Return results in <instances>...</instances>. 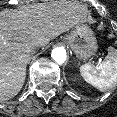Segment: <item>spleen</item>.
I'll use <instances>...</instances> for the list:
<instances>
[{
	"instance_id": "spleen-1",
	"label": "spleen",
	"mask_w": 117,
	"mask_h": 117,
	"mask_svg": "<svg viewBox=\"0 0 117 117\" xmlns=\"http://www.w3.org/2000/svg\"><path fill=\"white\" fill-rule=\"evenodd\" d=\"M80 73L84 80L99 91H107L117 82V50L109 47L108 54L101 66L84 64L80 67Z\"/></svg>"
}]
</instances>
